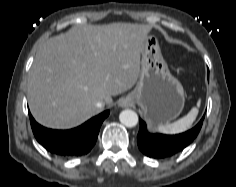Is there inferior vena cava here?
Listing matches in <instances>:
<instances>
[{
  "instance_id": "inferior-vena-cava-1",
  "label": "inferior vena cava",
  "mask_w": 236,
  "mask_h": 187,
  "mask_svg": "<svg viewBox=\"0 0 236 187\" xmlns=\"http://www.w3.org/2000/svg\"><path fill=\"white\" fill-rule=\"evenodd\" d=\"M104 102H102V101H98L97 103H96V107L98 108V109H102L103 107H104Z\"/></svg>"
}]
</instances>
